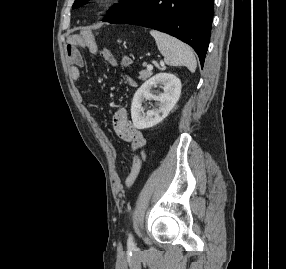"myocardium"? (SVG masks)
Segmentation results:
<instances>
[{
    "instance_id": "1",
    "label": "myocardium",
    "mask_w": 286,
    "mask_h": 269,
    "mask_svg": "<svg viewBox=\"0 0 286 269\" xmlns=\"http://www.w3.org/2000/svg\"><path fill=\"white\" fill-rule=\"evenodd\" d=\"M113 2H115V0H97V3L100 5H109Z\"/></svg>"
}]
</instances>
